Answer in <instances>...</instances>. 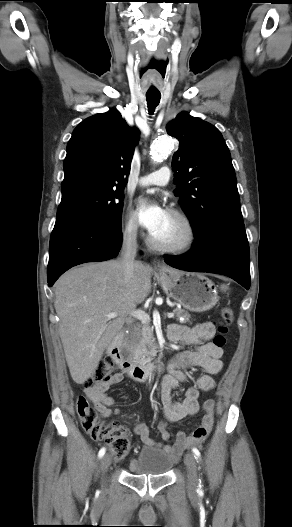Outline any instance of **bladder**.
<instances>
[{"mask_svg":"<svg viewBox=\"0 0 292 527\" xmlns=\"http://www.w3.org/2000/svg\"><path fill=\"white\" fill-rule=\"evenodd\" d=\"M172 465L173 459L165 451L155 447H146L129 462V470L134 475L159 476L166 474Z\"/></svg>","mask_w":292,"mask_h":527,"instance_id":"bladder-1","label":"bladder"}]
</instances>
